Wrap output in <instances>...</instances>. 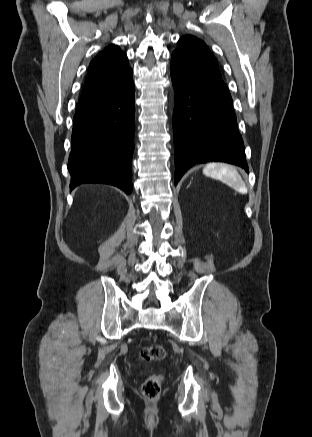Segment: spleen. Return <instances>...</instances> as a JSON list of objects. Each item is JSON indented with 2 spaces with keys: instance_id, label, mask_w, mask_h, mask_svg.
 Returning a JSON list of instances; mask_svg holds the SVG:
<instances>
[{
  "instance_id": "3e777b00",
  "label": "spleen",
  "mask_w": 312,
  "mask_h": 437,
  "mask_svg": "<svg viewBox=\"0 0 312 437\" xmlns=\"http://www.w3.org/2000/svg\"><path fill=\"white\" fill-rule=\"evenodd\" d=\"M203 173L206 176L221 180L239 193H247L246 185L237 170L227 164H208Z\"/></svg>"
}]
</instances>
